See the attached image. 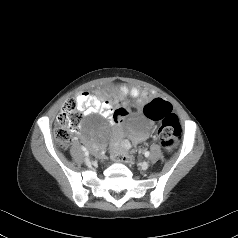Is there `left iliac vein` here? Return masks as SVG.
<instances>
[{"label": "left iliac vein", "mask_w": 238, "mask_h": 238, "mask_svg": "<svg viewBox=\"0 0 238 238\" xmlns=\"http://www.w3.org/2000/svg\"><path fill=\"white\" fill-rule=\"evenodd\" d=\"M148 167H149V163H148V162H143V163H141V168H142L143 170L148 169Z\"/></svg>", "instance_id": "left-iliac-vein-1"}]
</instances>
